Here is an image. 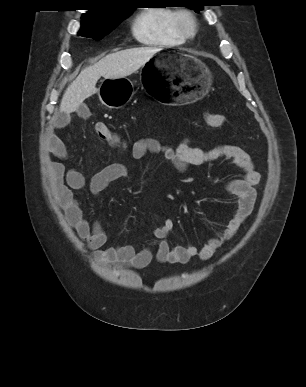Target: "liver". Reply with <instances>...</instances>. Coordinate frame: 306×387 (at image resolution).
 Segmentation results:
<instances>
[{
  "label": "liver",
  "instance_id": "obj_1",
  "mask_svg": "<svg viewBox=\"0 0 306 387\" xmlns=\"http://www.w3.org/2000/svg\"><path fill=\"white\" fill-rule=\"evenodd\" d=\"M160 49L140 47L111 53L92 66L86 67L66 89L60 104V112L76 111L83 101L97 93L96 83L100 77L120 79L142 67Z\"/></svg>",
  "mask_w": 306,
  "mask_h": 387
}]
</instances>
